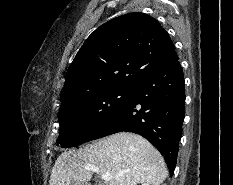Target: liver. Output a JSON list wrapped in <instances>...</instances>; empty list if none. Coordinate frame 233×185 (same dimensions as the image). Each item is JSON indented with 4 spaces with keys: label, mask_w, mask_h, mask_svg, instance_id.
Returning a JSON list of instances; mask_svg holds the SVG:
<instances>
[{
    "label": "liver",
    "mask_w": 233,
    "mask_h": 185,
    "mask_svg": "<svg viewBox=\"0 0 233 185\" xmlns=\"http://www.w3.org/2000/svg\"><path fill=\"white\" fill-rule=\"evenodd\" d=\"M87 164L112 176L107 185H160L168 176L162 155L150 142L137 134L120 132L78 151L62 152L52 168L49 185H89L92 171L84 168Z\"/></svg>",
    "instance_id": "liver-1"
}]
</instances>
